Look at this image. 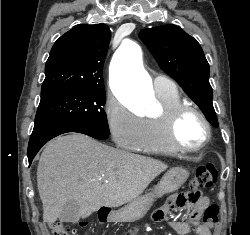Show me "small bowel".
Returning a JSON list of instances; mask_svg holds the SVG:
<instances>
[{"label": "small bowel", "mask_w": 250, "mask_h": 235, "mask_svg": "<svg viewBox=\"0 0 250 235\" xmlns=\"http://www.w3.org/2000/svg\"><path fill=\"white\" fill-rule=\"evenodd\" d=\"M208 205L209 200L207 197L201 196L200 200L191 206H188L187 203L182 202L176 197H172L163 207L159 208L153 214V220L163 221L167 214L172 212L175 208H180L190 214L192 222L172 221L171 225L179 235H212V225L197 221L199 215L208 207Z\"/></svg>", "instance_id": "1"}]
</instances>
